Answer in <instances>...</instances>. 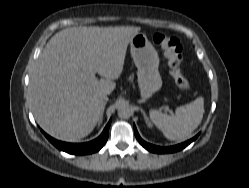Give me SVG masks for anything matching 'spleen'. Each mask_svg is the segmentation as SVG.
Masks as SVG:
<instances>
[{"label":"spleen","instance_id":"1","mask_svg":"<svg viewBox=\"0 0 249 188\" xmlns=\"http://www.w3.org/2000/svg\"><path fill=\"white\" fill-rule=\"evenodd\" d=\"M204 114V99L199 97L193 102L180 106L174 115H167L158 110H150L149 115L154 125L169 140L182 141L189 138L200 125Z\"/></svg>","mask_w":249,"mask_h":188}]
</instances>
